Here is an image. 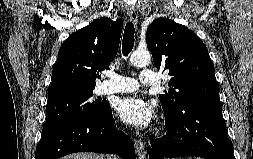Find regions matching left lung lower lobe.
Masks as SVG:
<instances>
[{"mask_svg": "<svg viewBox=\"0 0 253 159\" xmlns=\"http://www.w3.org/2000/svg\"><path fill=\"white\" fill-rule=\"evenodd\" d=\"M165 118L167 133L150 141L149 159L181 156L235 159L221 104L191 103L176 115H165Z\"/></svg>", "mask_w": 253, "mask_h": 159, "instance_id": "1", "label": "left lung lower lobe"}]
</instances>
